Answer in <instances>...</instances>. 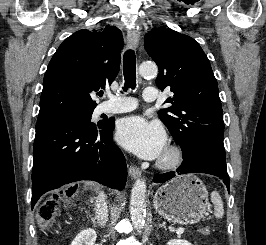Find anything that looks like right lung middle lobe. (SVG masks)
<instances>
[{"label": "right lung middle lobe", "instance_id": "dd1d6c3e", "mask_svg": "<svg viewBox=\"0 0 266 245\" xmlns=\"http://www.w3.org/2000/svg\"><path fill=\"white\" fill-rule=\"evenodd\" d=\"M93 110L94 109H85V110H79V111L71 112V113H68V114H65V115L59 117L58 119H60V118H69V117H71V118L78 117V118H83V119H87V120L90 121L91 115L93 113ZM52 121H54V120L37 121L36 129H38V128H40V127H42V126H44V125H46V124H48V123H50Z\"/></svg>", "mask_w": 266, "mask_h": 245}]
</instances>
